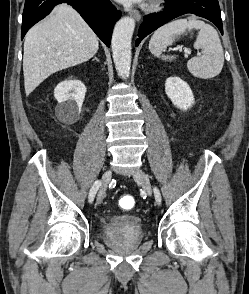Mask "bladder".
<instances>
[{"label":"bladder","instance_id":"31cf9c89","mask_svg":"<svg viewBox=\"0 0 249 294\" xmlns=\"http://www.w3.org/2000/svg\"><path fill=\"white\" fill-rule=\"evenodd\" d=\"M102 232L105 237H117L124 233H137L138 237H142L143 220L133 215H117L105 223Z\"/></svg>","mask_w":249,"mask_h":294}]
</instances>
